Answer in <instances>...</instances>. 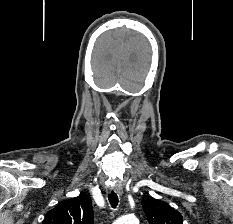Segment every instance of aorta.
<instances>
[{"label":"aorta","mask_w":233,"mask_h":224,"mask_svg":"<svg viewBox=\"0 0 233 224\" xmlns=\"http://www.w3.org/2000/svg\"><path fill=\"white\" fill-rule=\"evenodd\" d=\"M114 224H139V220L134 215H125L118 218Z\"/></svg>","instance_id":"obj_1"}]
</instances>
